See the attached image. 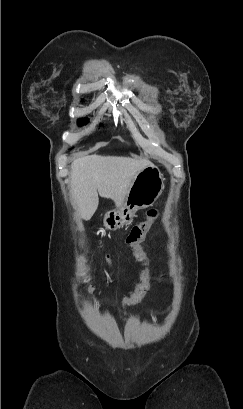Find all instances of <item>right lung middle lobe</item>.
Listing matches in <instances>:
<instances>
[{"instance_id":"right-lung-middle-lobe-1","label":"right lung middle lobe","mask_w":243,"mask_h":409,"mask_svg":"<svg viewBox=\"0 0 243 409\" xmlns=\"http://www.w3.org/2000/svg\"><path fill=\"white\" fill-rule=\"evenodd\" d=\"M87 122H88V119H86V118H82V119H80V120L78 121L79 125H84V124H86Z\"/></svg>"}]
</instances>
